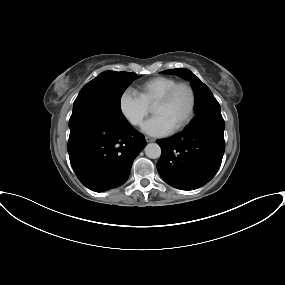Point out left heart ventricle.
Wrapping results in <instances>:
<instances>
[{
	"label": "left heart ventricle",
	"instance_id": "left-heart-ventricle-1",
	"mask_svg": "<svg viewBox=\"0 0 285 285\" xmlns=\"http://www.w3.org/2000/svg\"><path fill=\"white\" fill-rule=\"evenodd\" d=\"M190 104L191 97L189 91L181 88L168 104L153 108V114L161 116L173 129L185 119L189 112Z\"/></svg>",
	"mask_w": 285,
	"mask_h": 285
}]
</instances>
